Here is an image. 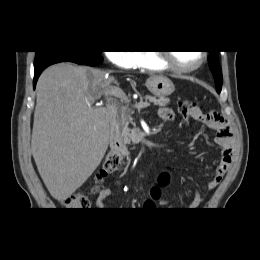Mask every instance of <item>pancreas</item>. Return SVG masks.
I'll use <instances>...</instances> for the list:
<instances>
[{"label": "pancreas", "instance_id": "1", "mask_svg": "<svg viewBox=\"0 0 260 260\" xmlns=\"http://www.w3.org/2000/svg\"><path fill=\"white\" fill-rule=\"evenodd\" d=\"M150 102L159 107H165L169 104L170 100L167 98H156L147 96ZM133 111L127 106H120L116 115V122L121 129V137L125 144H138L140 137L135 129H130L129 124H133L132 118Z\"/></svg>", "mask_w": 260, "mask_h": 260}]
</instances>
